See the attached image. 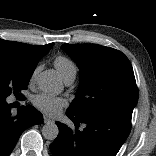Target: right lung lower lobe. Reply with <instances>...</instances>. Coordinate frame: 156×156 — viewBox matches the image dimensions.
Returning <instances> with one entry per match:
<instances>
[{
  "label": "right lung lower lobe",
  "mask_w": 156,
  "mask_h": 156,
  "mask_svg": "<svg viewBox=\"0 0 156 156\" xmlns=\"http://www.w3.org/2000/svg\"><path fill=\"white\" fill-rule=\"evenodd\" d=\"M43 122L42 114L32 106H21L16 116L11 115V105L0 96V156H9L22 132Z\"/></svg>",
  "instance_id": "98d812e1"
}]
</instances>
